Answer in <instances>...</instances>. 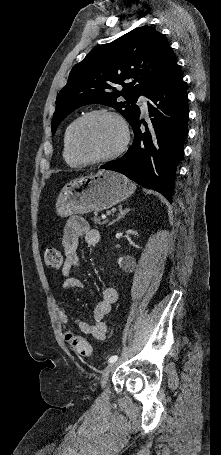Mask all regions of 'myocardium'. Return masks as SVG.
<instances>
[{
  "label": "myocardium",
  "mask_w": 221,
  "mask_h": 455,
  "mask_svg": "<svg viewBox=\"0 0 221 455\" xmlns=\"http://www.w3.org/2000/svg\"><path fill=\"white\" fill-rule=\"evenodd\" d=\"M100 115H106L114 118L118 124L120 125L121 132H122V141L120 145L111 153L104 155L102 157H97V158H89L84 155V153L81 151L78 145V132L79 128L82 125L84 121H86L89 118L95 117V116H100ZM130 142V129L128 126V123L126 119L117 111L113 109H108V108H99V109H94L91 110L82 116H80L78 119L73 124L72 130H71V146L73 149V152L75 155L84 163V164H98V163H104L111 161L118 156H120L124 151L127 149L128 145Z\"/></svg>",
  "instance_id": "f54148a6"
}]
</instances>
